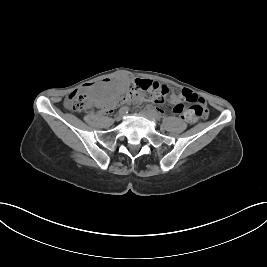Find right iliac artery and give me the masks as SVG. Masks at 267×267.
<instances>
[{"label":"right iliac artery","mask_w":267,"mask_h":267,"mask_svg":"<svg viewBox=\"0 0 267 267\" xmlns=\"http://www.w3.org/2000/svg\"><path fill=\"white\" fill-rule=\"evenodd\" d=\"M128 111H129V108L127 106H124L119 110V113L126 114L128 113Z\"/></svg>","instance_id":"1"}]
</instances>
